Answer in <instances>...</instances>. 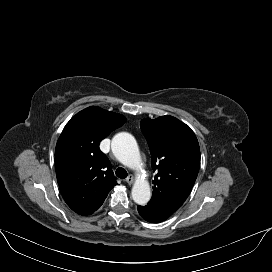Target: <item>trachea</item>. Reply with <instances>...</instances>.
Listing matches in <instances>:
<instances>
[{"label":"trachea","mask_w":272,"mask_h":272,"mask_svg":"<svg viewBox=\"0 0 272 272\" xmlns=\"http://www.w3.org/2000/svg\"><path fill=\"white\" fill-rule=\"evenodd\" d=\"M115 173H116L117 177H119L121 179L126 178L127 175H128L127 171L124 168H122V167L117 168V170H116Z\"/></svg>","instance_id":"1"}]
</instances>
